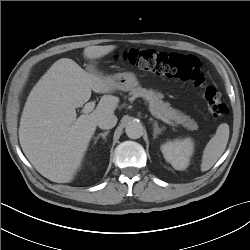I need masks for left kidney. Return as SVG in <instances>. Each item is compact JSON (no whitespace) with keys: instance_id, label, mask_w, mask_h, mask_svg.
I'll use <instances>...</instances> for the list:
<instances>
[{"instance_id":"5707ae66","label":"left kidney","mask_w":250,"mask_h":250,"mask_svg":"<svg viewBox=\"0 0 250 250\" xmlns=\"http://www.w3.org/2000/svg\"><path fill=\"white\" fill-rule=\"evenodd\" d=\"M161 152L167 162L176 170H185L194 152V144L190 138L175 139L161 145Z\"/></svg>"}]
</instances>
